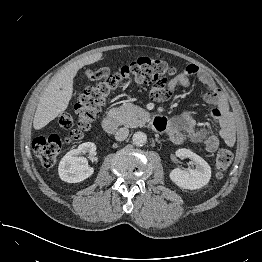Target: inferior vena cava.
I'll return each mask as SVG.
<instances>
[{
	"label": "inferior vena cava",
	"instance_id": "obj_1",
	"mask_svg": "<svg viewBox=\"0 0 262 262\" xmlns=\"http://www.w3.org/2000/svg\"><path fill=\"white\" fill-rule=\"evenodd\" d=\"M128 134H129V129L127 127L119 128L115 132V139L117 141H123L127 138Z\"/></svg>",
	"mask_w": 262,
	"mask_h": 262
}]
</instances>
